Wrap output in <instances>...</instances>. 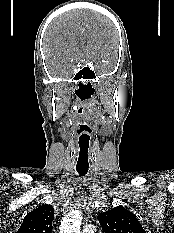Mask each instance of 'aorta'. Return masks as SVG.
<instances>
[{"label":"aorta","mask_w":174,"mask_h":233,"mask_svg":"<svg viewBox=\"0 0 174 233\" xmlns=\"http://www.w3.org/2000/svg\"><path fill=\"white\" fill-rule=\"evenodd\" d=\"M81 222L82 212L80 210H72L61 221L59 233H80Z\"/></svg>","instance_id":"762f6f07"}]
</instances>
